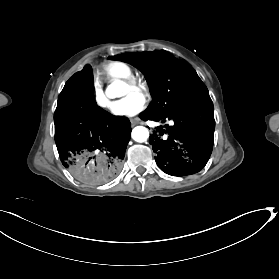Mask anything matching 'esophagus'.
I'll return each instance as SVG.
<instances>
[{"mask_svg":"<svg viewBox=\"0 0 279 279\" xmlns=\"http://www.w3.org/2000/svg\"><path fill=\"white\" fill-rule=\"evenodd\" d=\"M130 122L132 123V125H136V124H139V119L138 118H131L130 119Z\"/></svg>","mask_w":279,"mask_h":279,"instance_id":"1","label":"esophagus"}]
</instances>
